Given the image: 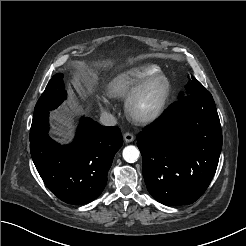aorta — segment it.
<instances>
[{
    "mask_svg": "<svg viewBox=\"0 0 246 246\" xmlns=\"http://www.w3.org/2000/svg\"><path fill=\"white\" fill-rule=\"evenodd\" d=\"M122 155L126 162L134 163L138 160L140 152L137 147L129 145L123 149Z\"/></svg>",
    "mask_w": 246,
    "mask_h": 246,
    "instance_id": "762f6f07",
    "label": "aorta"
}]
</instances>
